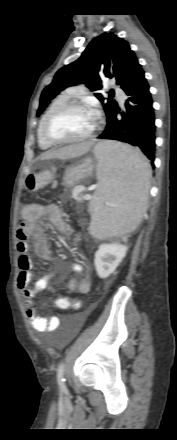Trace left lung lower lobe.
Wrapping results in <instances>:
<instances>
[{"label": "left lung lower lobe", "mask_w": 177, "mask_h": 440, "mask_svg": "<svg viewBox=\"0 0 177 440\" xmlns=\"http://www.w3.org/2000/svg\"><path fill=\"white\" fill-rule=\"evenodd\" d=\"M124 92L128 96L126 111L121 113V119H117L119 109L115 108L107 117L106 128L98 138L118 140L137 147L154 167L155 115L149 85L142 69Z\"/></svg>", "instance_id": "left-lung-lower-lobe-1"}]
</instances>
